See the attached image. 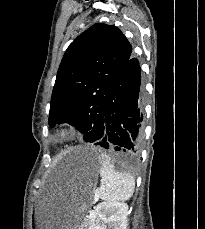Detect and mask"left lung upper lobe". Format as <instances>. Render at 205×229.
Here are the masks:
<instances>
[{"label": "left lung upper lobe", "instance_id": "obj_1", "mask_svg": "<svg viewBox=\"0 0 205 229\" xmlns=\"http://www.w3.org/2000/svg\"><path fill=\"white\" fill-rule=\"evenodd\" d=\"M131 53L129 41L115 26L98 23L81 33L59 66L49 125L69 123L90 142L88 132L103 121L109 91Z\"/></svg>", "mask_w": 205, "mask_h": 229}]
</instances>
